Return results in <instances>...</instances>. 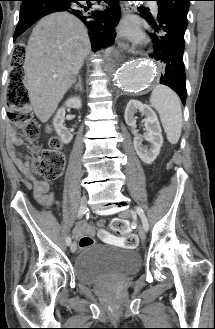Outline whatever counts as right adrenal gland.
I'll list each match as a JSON object with an SVG mask.
<instances>
[{
	"label": "right adrenal gland",
	"mask_w": 215,
	"mask_h": 329,
	"mask_svg": "<svg viewBox=\"0 0 215 329\" xmlns=\"http://www.w3.org/2000/svg\"><path fill=\"white\" fill-rule=\"evenodd\" d=\"M74 87H75V89L77 90V89H79L80 91H82L83 90V87H82V78H81V76L80 75H78V83H74Z\"/></svg>",
	"instance_id": "2a0ac1e0"
}]
</instances>
